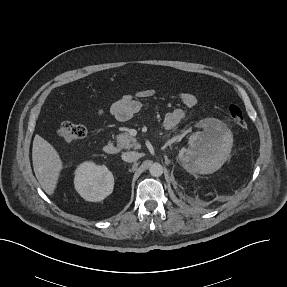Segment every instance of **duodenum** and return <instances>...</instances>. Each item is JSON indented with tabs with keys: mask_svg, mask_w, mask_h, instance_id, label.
<instances>
[{
	"mask_svg": "<svg viewBox=\"0 0 287 287\" xmlns=\"http://www.w3.org/2000/svg\"><path fill=\"white\" fill-rule=\"evenodd\" d=\"M104 151L107 154H115L117 152V147L114 143L112 142H108L105 146H104Z\"/></svg>",
	"mask_w": 287,
	"mask_h": 287,
	"instance_id": "duodenum-1",
	"label": "duodenum"
}]
</instances>
